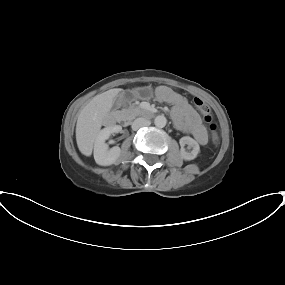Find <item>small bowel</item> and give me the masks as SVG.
<instances>
[{
	"instance_id": "small-bowel-1",
	"label": "small bowel",
	"mask_w": 285,
	"mask_h": 285,
	"mask_svg": "<svg viewBox=\"0 0 285 285\" xmlns=\"http://www.w3.org/2000/svg\"><path fill=\"white\" fill-rule=\"evenodd\" d=\"M155 95L159 101L172 105L171 113L178 130L192 135L200 145L207 143L208 135L198 113L182 95L167 86L158 87Z\"/></svg>"
}]
</instances>
